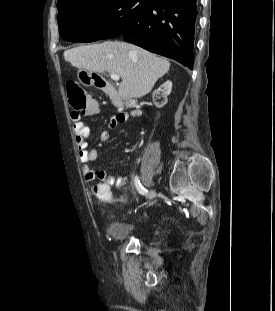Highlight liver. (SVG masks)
<instances>
[{
    "instance_id": "6515ba94",
    "label": "liver",
    "mask_w": 275,
    "mask_h": 311,
    "mask_svg": "<svg viewBox=\"0 0 275 311\" xmlns=\"http://www.w3.org/2000/svg\"><path fill=\"white\" fill-rule=\"evenodd\" d=\"M64 59L72 66L95 73H115L122 79L118 93L121 99L141 98L170 68L167 59L138 46L106 41L66 50Z\"/></svg>"
}]
</instances>
